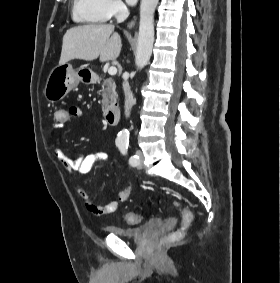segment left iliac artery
<instances>
[{
    "mask_svg": "<svg viewBox=\"0 0 280 283\" xmlns=\"http://www.w3.org/2000/svg\"><path fill=\"white\" fill-rule=\"evenodd\" d=\"M118 148L123 155L127 154L128 144H126V143L120 144V145H118ZM138 161H139V157L137 155L131 156L130 159H129V163L132 166H136Z\"/></svg>",
    "mask_w": 280,
    "mask_h": 283,
    "instance_id": "1",
    "label": "left iliac artery"
}]
</instances>
